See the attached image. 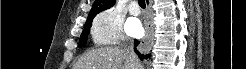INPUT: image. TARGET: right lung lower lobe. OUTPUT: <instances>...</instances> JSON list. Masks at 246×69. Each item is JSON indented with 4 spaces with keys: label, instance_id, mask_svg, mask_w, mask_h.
Segmentation results:
<instances>
[{
    "label": "right lung lower lobe",
    "instance_id": "98d812e1",
    "mask_svg": "<svg viewBox=\"0 0 246 69\" xmlns=\"http://www.w3.org/2000/svg\"><path fill=\"white\" fill-rule=\"evenodd\" d=\"M135 41V45H134V50H135V52L139 55V57H140V59H144L145 57H147V58H149L150 57V55H140L139 54V52L137 51V49H136V46L139 44V41H137V40H134Z\"/></svg>",
    "mask_w": 246,
    "mask_h": 69
}]
</instances>
